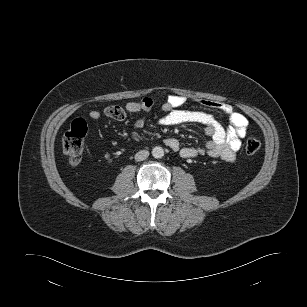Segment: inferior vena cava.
Listing matches in <instances>:
<instances>
[{"mask_svg": "<svg viewBox=\"0 0 307 307\" xmlns=\"http://www.w3.org/2000/svg\"><path fill=\"white\" fill-rule=\"evenodd\" d=\"M149 156V152L147 150H140L135 154L136 161H143Z\"/></svg>", "mask_w": 307, "mask_h": 307, "instance_id": "obj_1", "label": "inferior vena cava"}]
</instances>
